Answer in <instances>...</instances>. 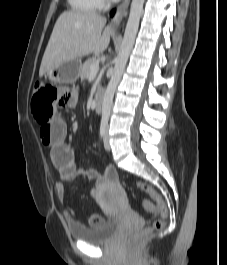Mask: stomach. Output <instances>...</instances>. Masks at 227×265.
<instances>
[{
    "mask_svg": "<svg viewBox=\"0 0 227 265\" xmlns=\"http://www.w3.org/2000/svg\"><path fill=\"white\" fill-rule=\"evenodd\" d=\"M81 61L71 60L63 63L57 67L50 69L46 73V77L53 83L65 84L67 81L75 83L80 76L81 72Z\"/></svg>",
    "mask_w": 227,
    "mask_h": 265,
    "instance_id": "1",
    "label": "stomach"
}]
</instances>
